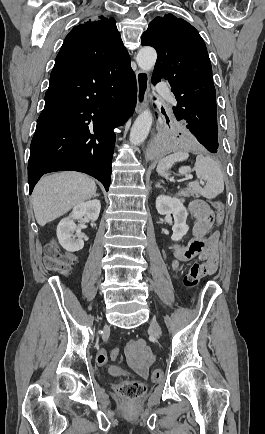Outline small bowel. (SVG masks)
<instances>
[{
  "instance_id": "1",
  "label": "small bowel",
  "mask_w": 265,
  "mask_h": 434,
  "mask_svg": "<svg viewBox=\"0 0 265 434\" xmlns=\"http://www.w3.org/2000/svg\"><path fill=\"white\" fill-rule=\"evenodd\" d=\"M189 213L194 218L192 227L193 238L186 244L174 243L172 245V268L181 270V262L197 258L209 265L201 269L200 276L214 274L218 264L217 241L218 233L212 232L214 215L210 205L202 199H196L189 205ZM199 295V292H196ZM126 355L129 364L143 378L149 377L147 369L155 359L152 349L142 338L130 339L126 344Z\"/></svg>"
}]
</instances>
